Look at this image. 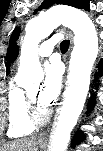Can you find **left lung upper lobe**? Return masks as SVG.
<instances>
[{
  "label": "left lung upper lobe",
  "instance_id": "5c2ea615",
  "mask_svg": "<svg viewBox=\"0 0 103 151\" xmlns=\"http://www.w3.org/2000/svg\"><path fill=\"white\" fill-rule=\"evenodd\" d=\"M89 3L90 0H44L38 10H41L42 8L51 7L54 4H64L89 11Z\"/></svg>",
  "mask_w": 103,
  "mask_h": 151
}]
</instances>
